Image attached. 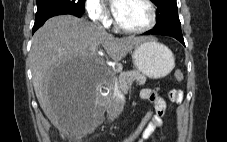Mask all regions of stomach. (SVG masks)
Instances as JSON below:
<instances>
[{"mask_svg":"<svg viewBox=\"0 0 227 142\" xmlns=\"http://www.w3.org/2000/svg\"><path fill=\"white\" fill-rule=\"evenodd\" d=\"M132 60L138 71L152 79L166 77L175 66L172 51L167 46L152 39L142 42L134 48ZM122 104V102H118L114 111H120Z\"/></svg>","mask_w":227,"mask_h":142,"instance_id":"1","label":"stomach"}]
</instances>
